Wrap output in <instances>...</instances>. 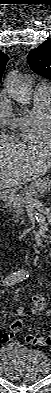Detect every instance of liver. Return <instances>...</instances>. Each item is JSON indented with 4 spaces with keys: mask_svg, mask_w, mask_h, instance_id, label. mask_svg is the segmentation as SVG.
<instances>
[{
    "mask_svg": "<svg viewBox=\"0 0 51 393\" xmlns=\"http://www.w3.org/2000/svg\"><path fill=\"white\" fill-rule=\"evenodd\" d=\"M51 168V147L0 141V189H12L42 177Z\"/></svg>",
    "mask_w": 51,
    "mask_h": 393,
    "instance_id": "obj_1",
    "label": "liver"
}]
</instances>
